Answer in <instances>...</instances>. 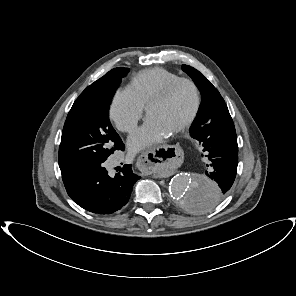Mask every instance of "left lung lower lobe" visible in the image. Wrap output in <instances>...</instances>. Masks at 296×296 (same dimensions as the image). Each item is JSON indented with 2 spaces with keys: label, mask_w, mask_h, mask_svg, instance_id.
<instances>
[{
  "label": "left lung lower lobe",
  "mask_w": 296,
  "mask_h": 296,
  "mask_svg": "<svg viewBox=\"0 0 296 296\" xmlns=\"http://www.w3.org/2000/svg\"><path fill=\"white\" fill-rule=\"evenodd\" d=\"M199 134L203 151L212 167L205 174L212 181H216L218 187H206L204 194L200 197L193 196L194 200L190 203V206L198 210H207L229 193L236 177L238 165L237 136L227 106L214 115L209 123L201 127Z\"/></svg>",
  "instance_id": "0a47b994"
}]
</instances>
